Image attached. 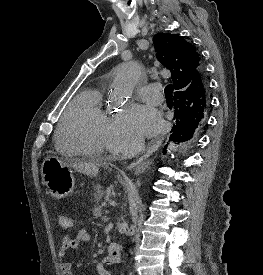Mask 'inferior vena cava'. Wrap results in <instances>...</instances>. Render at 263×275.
<instances>
[{"instance_id": "1", "label": "inferior vena cava", "mask_w": 263, "mask_h": 275, "mask_svg": "<svg viewBox=\"0 0 263 275\" xmlns=\"http://www.w3.org/2000/svg\"><path fill=\"white\" fill-rule=\"evenodd\" d=\"M145 148V141L144 138L139 137L135 142L133 149L124 151V155L127 157H133L135 154L139 153L140 151L144 150Z\"/></svg>"}]
</instances>
